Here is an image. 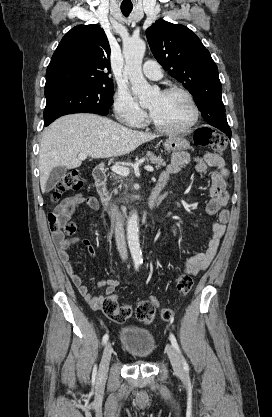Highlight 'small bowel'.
Masks as SVG:
<instances>
[{
  "instance_id": "1",
  "label": "small bowel",
  "mask_w": 272,
  "mask_h": 417,
  "mask_svg": "<svg viewBox=\"0 0 272 417\" xmlns=\"http://www.w3.org/2000/svg\"><path fill=\"white\" fill-rule=\"evenodd\" d=\"M191 162L194 163L195 168L199 173H205L208 169L215 168V170L210 172V200L205 208V213L207 215L215 217V220L211 224L212 235L208 241L207 249L204 252L188 257L184 263L185 274L197 276L210 265L216 256L226 231V224L229 220V211L227 209L229 195L226 192L228 171L225 168L223 158L217 154L206 153L201 157L191 159L188 153L177 152L173 155L166 169L161 173L159 181L167 184L171 175L179 173L184 166ZM83 206L92 210H97L99 208V203L95 197L82 193L65 198L57 207L60 222L66 223L74 212ZM54 241L58 247L59 259L79 293L92 309H101L104 299L113 295L115 289L120 284V280L106 279L98 281V287L104 289V295H92L89 292L87 285L84 283L83 278L71 262L67 250L71 244L80 243L87 248L89 260H91L94 257V249L90 242L81 238H74L71 241H68L62 234L54 235Z\"/></svg>"
}]
</instances>
